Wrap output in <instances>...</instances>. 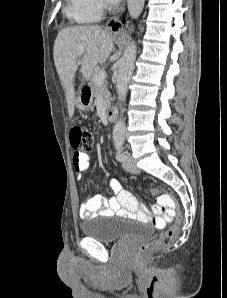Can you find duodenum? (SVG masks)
<instances>
[{
	"mask_svg": "<svg viewBox=\"0 0 227 298\" xmlns=\"http://www.w3.org/2000/svg\"><path fill=\"white\" fill-rule=\"evenodd\" d=\"M85 94L90 95L91 94V88L86 87L85 88ZM117 117V109L114 106H111L108 108L106 113V118L109 123H113Z\"/></svg>",
	"mask_w": 227,
	"mask_h": 298,
	"instance_id": "410a0bca",
	"label": "duodenum"
}]
</instances>
